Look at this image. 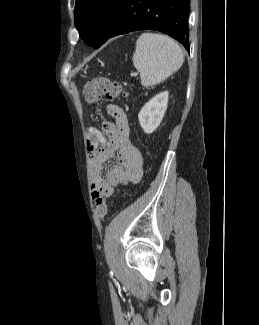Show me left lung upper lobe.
Returning a JSON list of instances; mask_svg holds the SVG:
<instances>
[{"label": "left lung upper lobe", "mask_w": 259, "mask_h": 325, "mask_svg": "<svg viewBox=\"0 0 259 325\" xmlns=\"http://www.w3.org/2000/svg\"><path fill=\"white\" fill-rule=\"evenodd\" d=\"M123 0H76L74 23L81 39L99 48L118 13Z\"/></svg>", "instance_id": "left-lung-upper-lobe-1"}]
</instances>
